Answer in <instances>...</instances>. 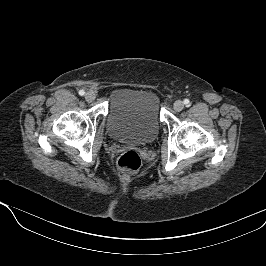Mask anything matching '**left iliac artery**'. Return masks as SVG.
<instances>
[{"mask_svg":"<svg viewBox=\"0 0 266 266\" xmlns=\"http://www.w3.org/2000/svg\"><path fill=\"white\" fill-rule=\"evenodd\" d=\"M184 104H185L186 106H189V104H190L189 99H184Z\"/></svg>","mask_w":266,"mask_h":266,"instance_id":"left-iliac-artery-1","label":"left iliac artery"}]
</instances>
